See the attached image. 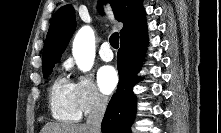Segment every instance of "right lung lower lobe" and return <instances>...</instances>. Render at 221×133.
I'll use <instances>...</instances> for the list:
<instances>
[{
	"label": "right lung lower lobe",
	"instance_id": "obj_1",
	"mask_svg": "<svg viewBox=\"0 0 221 133\" xmlns=\"http://www.w3.org/2000/svg\"><path fill=\"white\" fill-rule=\"evenodd\" d=\"M147 29L121 40L117 64L119 84L112 96L102 121L103 133H129L136 111L133 86L138 82L141 67L139 56L145 52Z\"/></svg>",
	"mask_w": 221,
	"mask_h": 133
}]
</instances>
